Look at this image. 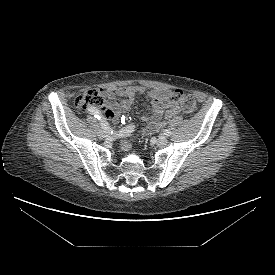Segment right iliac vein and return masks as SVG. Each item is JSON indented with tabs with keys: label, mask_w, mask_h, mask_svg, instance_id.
<instances>
[{
	"label": "right iliac vein",
	"mask_w": 275,
	"mask_h": 275,
	"mask_svg": "<svg viewBox=\"0 0 275 275\" xmlns=\"http://www.w3.org/2000/svg\"><path fill=\"white\" fill-rule=\"evenodd\" d=\"M98 136L100 139H104L108 137V134L104 130H99Z\"/></svg>",
	"instance_id": "right-iliac-vein-1"
}]
</instances>
